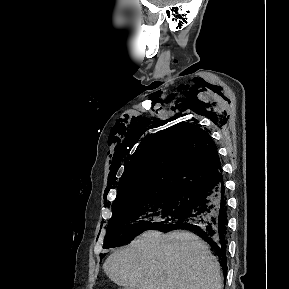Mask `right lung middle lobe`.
<instances>
[{
	"mask_svg": "<svg viewBox=\"0 0 289 289\" xmlns=\"http://www.w3.org/2000/svg\"><path fill=\"white\" fill-rule=\"evenodd\" d=\"M193 191L172 190L130 197L112 206L103 248L128 243L146 230L157 229L170 218L184 214Z\"/></svg>",
	"mask_w": 289,
	"mask_h": 289,
	"instance_id": "1",
	"label": "right lung middle lobe"
}]
</instances>
